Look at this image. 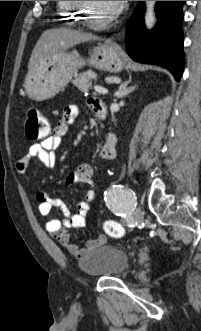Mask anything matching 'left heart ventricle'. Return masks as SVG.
<instances>
[{"label": "left heart ventricle", "instance_id": "obj_1", "mask_svg": "<svg viewBox=\"0 0 201 331\" xmlns=\"http://www.w3.org/2000/svg\"><path fill=\"white\" fill-rule=\"evenodd\" d=\"M87 18L92 22H99L109 16L118 6V1H87Z\"/></svg>", "mask_w": 201, "mask_h": 331}]
</instances>
